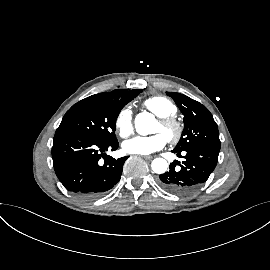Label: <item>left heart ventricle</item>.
I'll list each match as a JSON object with an SVG mask.
<instances>
[{
	"label": "left heart ventricle",
	"mask_w": 270,
	"mask_h": 270,
	"mask_svg": "<svg viewBox=\"0 0 270 270\" xmlns=\"http://www.w3.org/2000/svg\"><path fill=\"white\" fill-rule=\"evenodd\" d=\"M155 133H162L166 138L169 136L170 131L165 130L160 123H157L154 128Z\"/></svg>",
	"instance_id": "obj_1"
}]
</instances>
